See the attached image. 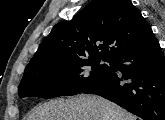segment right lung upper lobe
<instances>
[{
	"label": "right lung upper lobe",
	"instance_id": "obj_1",
	"mask_svg": "<svg viewBox=\"0 0 165 120\" xmlns=\"http://www.w3.org/2000/svg\"><path fill=\"white\" fill-rule=\"evenodd\" d=\"M152 35L130 0H94L72 20L56 24L28 65L81 58L112 61Z\"/></svg>",
	"mask_w": 165,
	"mask_h": 120
}]
</instances>
